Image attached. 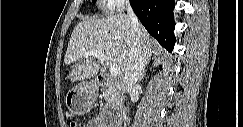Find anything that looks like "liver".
<instances>
[{
  "mask_svg": "<svg viewBox=\"0 0 243 127\" xmlns=\"http://www.w3.org/2000/svg\"><path fill=\"white\" fill-rule=\"evenodd\" d=\"M134 29L130 18L125 14H116L101 19L87 18L74 28L64 57L66 65H71V71L66 80L71 82L93 78L97 75L100 64L89 50H98L107 57L106 65H116L124 75L131 50ZM143 47L144 65L148 57L156 49V42L140 25L138 33ZM78 62V63H76Z\"/></svg>",
  "mask_w": 243,
  "mask_h": 127,
  "instance_id": "obj_1",
  "label": "liver"
}]
</instances>
